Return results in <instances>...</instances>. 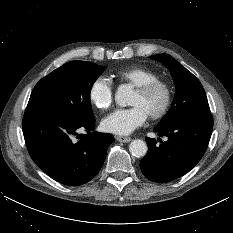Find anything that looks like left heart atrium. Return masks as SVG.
Segmentation results:
<instances>
[{"label":"left heart atrium","instance_id":"39dd6f15","mask_svg":"<svg viewBox=\"0 0 233 233\" xmlns=\"http://www.w3.org/2000/svg\"><path fill=\"white\" fill-rule=\"evenodd\" d=\"M146 119V113L139 106H132L117 109L106 116L102 121V127L107 132L126 135L142 126Z\"/></svg>","mask_w":233,"mask_h":233}]
</instances>
